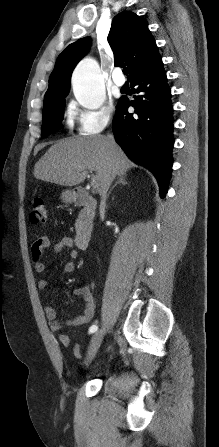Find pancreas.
I'll return each mask as SVG.
<instances>
[{
    "instance_id": "1",
    "label": "pancreas",
    "mask_w": 219,
    "mask_h": 447,
    "mask_svg": "<svg viewBox=\"0 0 219 447\" xmlns=\"http://www.w3.org/2000/svg\"><path fill=\"white\" fill-rule=\"evenodd\" d=\"M81 225H82V219L79 217L75 223L76 229H80Z\"/></svg>"
}]
</instances>
